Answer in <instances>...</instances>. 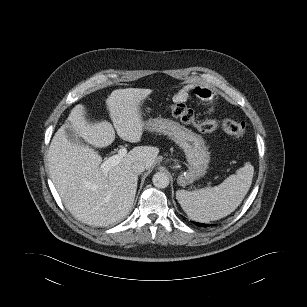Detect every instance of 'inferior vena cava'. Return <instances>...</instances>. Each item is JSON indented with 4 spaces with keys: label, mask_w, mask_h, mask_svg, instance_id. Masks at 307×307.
<instances>
[{
    "label": "inferior vena cava",
    "mask_w": 307,
    "mask_h": 307,
    "mask_svg": "<svg viewBox=\"0 0 307 307\" xmlns=\"http://www.w3.org/2000/svg\"><path fill=\"white\" fill-rule=\"evenodd\" d=\"M132 170L136 174H141L145 170V165L142 162H137L132 165Z\"/></svg>",
    "instance_id": "obj_1"
}]
</instances>
